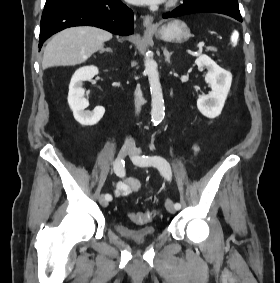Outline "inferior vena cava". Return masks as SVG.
<instances>
[{
    "mask_svg": "<svg viewBox=\"0 0 280 283\" xmlns=\"http://www.w3.org/2000/svg\"><path fill=\"white\" fill-rule=\"evenodd\" d=\"M134 101H135V111L138 114L141 110V106L143 104V95L142 91L139 87L136 88L135 93H134ZM126 145L134 146L135 142L132 138H127L125 141Z\"/></svg>",
    "mask_w": 280,
    "mask_h": 283,
    "instance_id": "602c4592",
    "label": "inferior vena cava"
}]
</instances>
